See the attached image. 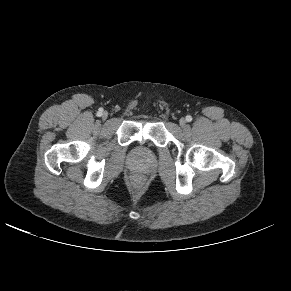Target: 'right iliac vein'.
Listing matches in <instances>:
<instances>
[{"instance_id": "obj_1", "label": "right iliac vein", "mask_w": 291, "mask_h": 291, "mask_svg": "<svg viewBox=\"0 0 291 291\" xmlns=\"http://www.w3.org/2000/svg\"><path fill=\"white\" fill-rule=\"evenodd\" d=\"M107 116H108V113H107V112H103V113H102V118H103V119H106Z\"/></svg>"}]
</instances>
